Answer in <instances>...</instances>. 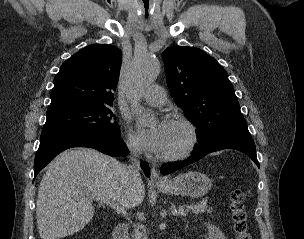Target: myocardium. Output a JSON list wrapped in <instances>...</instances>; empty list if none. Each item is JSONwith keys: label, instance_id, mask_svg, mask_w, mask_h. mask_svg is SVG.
I'll return each mask as SVG.
<instances>
[{"label": "myocardium", "instance_id": "1", "mask_svg": "<svg viewBox=\"0 0 304 239\" xmlns=\"http://www.w3.org/2000/svg\"><path fill=\"white\" fill-rule=\"evenodd\" d=\"M170 122L181 125L186 133L187 140L185 144L173 152L161 153L159 158L164 161H178L192 154L199 142V131L194 122L184 116H174Z\"/></svg>", "mask_w": 304, "mask_h": 239}]
</instances>
